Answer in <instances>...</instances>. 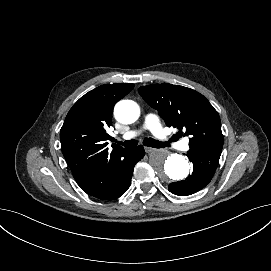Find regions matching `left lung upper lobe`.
I'll return each instance as SVG.
<instances>
[{"mask_svg":"<svg viewBox=\"0 0 271 271\" xmlns=\"http://www.w3.org/2000/svg\"><path fill=\"white\" fill-rule=\"evenodd\" d=\"M143 99L177 129L178 135H189L190 149L205 147L220 155L224 137L217 111L200 93L187 87L168 83L142 86L138 89Z\"/></svg>","mask_w":271,"mask_h":271,"instance_id":"obj_1","label":"left lung upper lobe"}]
</instances>
